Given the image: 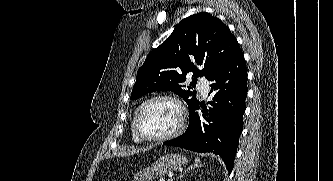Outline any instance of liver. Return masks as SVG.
<instances>
[{"instance_id": "obj_1", "label": "liver", "mask_w": 333, "mask_h": 181, "mask_svg": "<svg viewBox=\"0 0 333 181\" xmlns=\"http://www.w3.org/2000/svg\"><path fill=\"white\" fill-rule=\"evenodd\" d=\"M152 148V146L146 147V148H127V149H122L119 152L115 153L114 155L118 156H128L140 152H145L149 151Z\"/></svg>"}]
</instances>
